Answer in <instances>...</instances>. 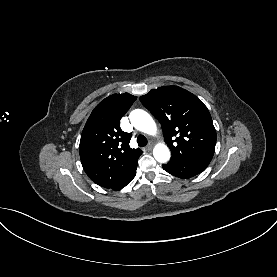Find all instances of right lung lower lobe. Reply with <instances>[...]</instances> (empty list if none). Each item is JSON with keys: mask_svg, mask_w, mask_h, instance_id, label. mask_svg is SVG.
Wrapping results in <instances>:
<instances>
[{"mask_svg": "<svg viewBox=\"0 0 277 277\" xmlns=\"http://www.w3.org/2000/svg\"><path fill=\"white\" fill-rule=\"evenodd\" d=\"M137 168V167H136ZM136 168L124 179L114 190H120L125 187L136 175Z\"/></svg>", "mask_w": 277, "mask_h": 277, "instance_id": "obj_1", "label": "right lung lower lobe"}]
</instances>
